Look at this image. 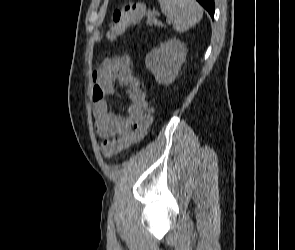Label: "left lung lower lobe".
<instances>
[{
	"instance_id": "0a47b994",
	"label": "left lung lower lobe",
	"mask_w": 295,
	"mask_h": 250,
	"mask_svg": "<svg viewBox=\"0 0 295 250\" xmlns=\"http://www.w3.org/2000/svg\"><path fill=\"white\" fill-rule=\"evenodd\" d=\"M214 17V0H197Z\"/></svg>"
}]
</instances>
